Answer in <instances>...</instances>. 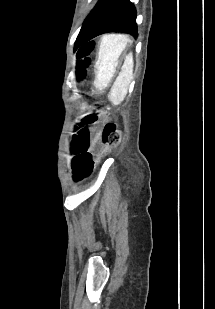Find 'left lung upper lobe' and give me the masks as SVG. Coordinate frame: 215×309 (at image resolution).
<instances>
[{"mask_svg":"<svg viewBox=\"0 0 215 309\" xmlns=\"http://www.w3.org/2000/svg\"><path fill=\"white\" fill-rule=\"evenodd\" d=\"M112 31L138 36L136 10L129 0H100L86 18L76 45Z\"/></svg>","mask_w":215,"mask_h":309,"instance_id":"obj_1","label":"left lung upper lobe"}]
</instances>
